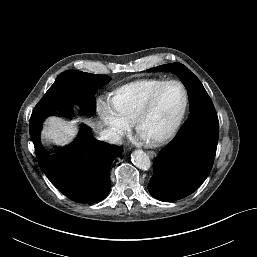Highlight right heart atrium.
<instances>
[{
  "label": "right heart atrium",
  "instance_id": "1",
  "mask_svg": "<svg viewBox=\"0 0 257 257\" xmlns=\"http://www.w3.org/2000/svg\"><path fill=\"white\" fill-rule=\"evenodd\" d=\"M99 115L106 131V136L111 142L118 141L131 126L132 120L125 117L116 107L112 98L100 100L98 103Z\"/></svg>",
  "mask_w": 257,
  "mask_h": 257
}]
</instances>
